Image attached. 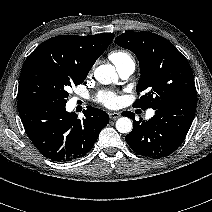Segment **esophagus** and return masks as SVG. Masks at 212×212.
<instances>
[{"instance_id": "34e87169", "label": "esophagus", "mask_w": 212, "mask_h": 212, "mask_svg": "<svg viewBox=\"0 0 212 212\" xmlns=\"http://www.w3.org/2000/svg\"><path fill=\"white\" fill-rule=\"evenodd\" d=\"M109 117L112 119V120H116L117 118L120 117V114L118 112H111L109 113Z\"/></svg>"}]
</instances>
